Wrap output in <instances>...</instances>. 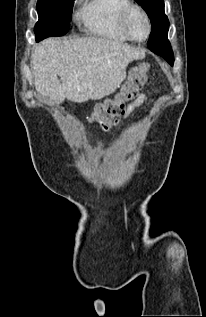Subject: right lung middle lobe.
<instances>
[{
    "mask_svg": "<svg viewBox=\"0 0 206 317\" xmlns=\"http://www.w3.org/2000/svg\"><path fill=\"white\" fill-rule=\"evenodd\" d=\"M74 0H38L39 21L34 32L36 41L51 36H62L70 27Z\"/></svg>",
    "mask_w": 206,
    "mask_h": 317,
    "instance_id": "obj_1",
    "label": "right lung middle lobe"
}]
</instances>
